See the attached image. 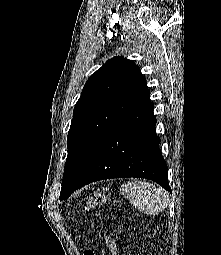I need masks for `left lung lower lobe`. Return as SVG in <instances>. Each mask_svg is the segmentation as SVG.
Instances as JSON below:
<instances>
[{
    "mask_svg": "<svg viewBox=\"0 0 221 255\" xmlns=\"http://www.w3.org/2000/svg\"><path fill=\"white\" fill-rule=\"evenodd\" d=\"M155 124L149 94L109 131L73 191L102 179L140 177L153 180L171 192Z\"/></svg>",
    "mask_w": 221,
    "mask_h": 255,
    "instance_id": "obj_1",
    "label": "left lung lower lobe"
}]
</instances>
